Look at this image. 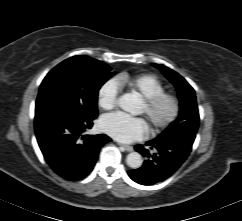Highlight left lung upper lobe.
Here are the masks:
<instances>
[{"instance_id": "obj_1", "label": "left lung upper lobe", "mask_w": 242, "mask_h": 221, "mask_svg": "<svg viewBox=\"0 0 242 221\" xmlns=\"http://www.w3.org/2000/svg\"><path fill=\"white\" fill-rule=\"evenodd\" d=\"M153 65L161 69L163 74L175 85L180 101L178 119L171 123L158 138H195L199 126V113L194 89L177 72L161 64Z\"/></svg>"}]
</instances>
